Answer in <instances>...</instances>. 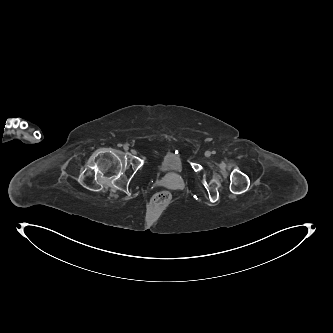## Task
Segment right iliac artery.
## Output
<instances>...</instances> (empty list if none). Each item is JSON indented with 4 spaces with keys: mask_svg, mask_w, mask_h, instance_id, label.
I'll list each match as a JSON object with an SVG mask.
<instances>
[{
    "mask_svg": "<svg viewBox=\"0 0 333 333\" xmlns=\"http://www.w3.org/2000/svg\"><path fill=\"white\" fill-rule=\"evenodd\" d=\"M119 146H121V145L119 144ZM123 148H124V150H126V151L129 149V147H128L127 145H124Z\"/></svg>",
    "mask_w": 333,
    "mask_h": 333,
    "instance_id": "right-iliac-artery-1",
    "label": "right iliac artery"
}]
</instances>
